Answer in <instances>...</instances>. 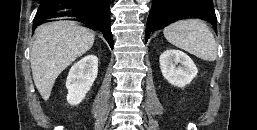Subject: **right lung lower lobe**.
<instances>
[{"label": "right lung lower lobe", "instance_id": "obj_1", "mask_svg": "<svg viewBox=\"0 0 257 130\" xmlns=\"http://www.w3.org/2000/svg\"><path fill=\"white\" fill-rule=\"evenodd\" d=\"M73 17L69 20L84 23L88 28L104 34L113 49V37L110 25V0H41L38 11L33 20L35 27L50 22L56 17Z\"/></svg>", "mask_w": 257, "mask_h": 130}]
</instances>
